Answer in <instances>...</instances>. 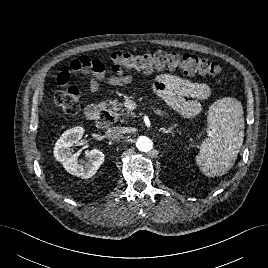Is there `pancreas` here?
Segmentation results:
<instances>
[{
  "label": "pancreas",
  "instance_id": "pancreas-1",
  "mask_svg": "<svg viewBox=\"0 0 268 268\" xmlns=\"http://www.w3.org/2000/svg\"><path fill=\"white\" fill-rule=\"evenodd\" d=\"M108 110L111 115L114 117V120L117 121L121 116L123 117H131L133 116V112L130 110L123 108V104L118 102V100H110L107 103Z\"/></svg>",
  "mask_w": 268,
  "mask_h": 268
}]
</instances>
